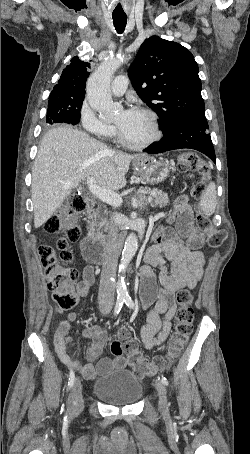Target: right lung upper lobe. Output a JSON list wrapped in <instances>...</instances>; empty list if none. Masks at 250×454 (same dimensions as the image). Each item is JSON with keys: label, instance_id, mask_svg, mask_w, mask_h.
Returning a JSON list of instances; mask_svg holds the SVG:
<instances>
[{"label": "right lung upper lobe", "instance_id": "1", "mask_svg": "<svg viewBox=\"0 0 250 454\" xmlns=\"http://www.w3.org/2000/svg\"><path fill=\"white\" fill-rule=\"evenodd\" d=\"M89 68V62L81 61L78 56L73 57L70 65L63 70L49 98L58 97L70 100L84 98Z\"/></svg>", "mask_w": 250, "mask_h": 454}]
</instances>
